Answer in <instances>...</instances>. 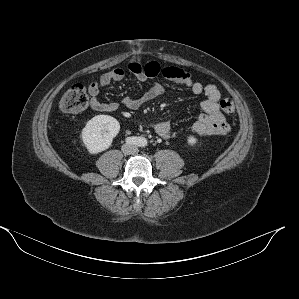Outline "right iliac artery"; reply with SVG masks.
Here are the masks:
<instances>
[{"instance_id": "82829eb1", "label": "right iliac artery", "mask_w": 299, "mask_h": 299, "mask_svg": "<svg viewBox=\"0 0 299 299\" xmlns=\"http://www.w3.org/2000/svg\"><path fill=\"white\" fill-rule=\"evenodd\" d=\"M126 142L129 143V144H138L139 138L138 137H134V136L127 137L126 138Z\"/></svg>"}]
</instances>
